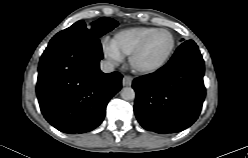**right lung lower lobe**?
I'll list each match as a JSON object with an SVG mask.
<instances>
[{"mask_svg": "<svg viewBox=\"0 0 248 158\" xmlns=\"http://www.w3.org/2000/svg\"><path fill=\"white\" fill-rule=\"evenodd\" d=\"M99 38L54 36L39 62L37 97L45 119L65 133H84L103 121L122 75L100 71Z\"/></svg>", "mask_w": 248, "mask_h": 158, "instance_id": "98d812e1", "label": "right lung lower lobe"}]
</instances>
